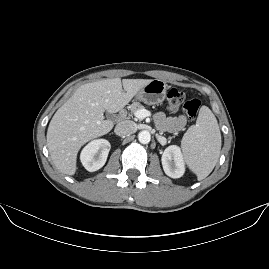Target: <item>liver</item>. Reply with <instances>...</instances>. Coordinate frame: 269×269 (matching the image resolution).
I'll list each match as a JSON object with an SVG mask.
<instances>
[{"label": "liver", "instance_id": "6515ba94", "mask_svg": "<svg viewBox=\"0 0 269 269\" xmlns=\"http://www.w3.org/2000/svg\"><path fill=\"white\" fill-rule=\"evenodd\" d=\"M150 82L113 78L81 85L56 111L48 127L47 146L57 169L74 175L81 146L107 134L114 126L104 119V111H120Z\"/></svg>", "mask_w": 269, "mask_h": 269}]
</instances>
